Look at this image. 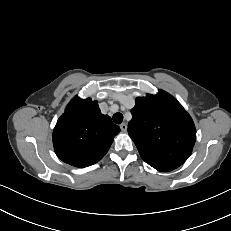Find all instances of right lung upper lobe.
Instances as JSON below:
<instances>
[{"instance_id":"obj_1","label":"right lung upper lobe","mask_w":231,"mask_h":231,"mask_svg":"<svg viewBox=\"0 0 231 231\" xmlns=\"http://www.w3.org/2000/svg\"><path fill=\"white\" fill-rule=\"evenodd\" d=\"M119 132V126L101 113L97 101L76 96L56 123L54 150L63 162L87 167L104 157Z\"/></svg>"}]
</instances>
